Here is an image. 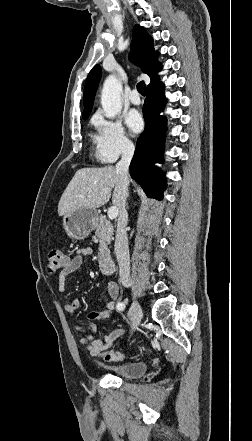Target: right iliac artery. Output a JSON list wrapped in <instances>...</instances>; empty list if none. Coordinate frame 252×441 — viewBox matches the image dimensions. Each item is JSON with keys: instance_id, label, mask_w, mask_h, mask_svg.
Wrapping results in <instances>:
<instances>
[{"instance_id": "obj_1", "label": "right iliac artery", "mask_w": 252, "mask_h": 441, "mask_svg": "<svg viewBox=\"0 0 252 441\" xmlns=\"http://www.w3.org/2000/svg\"><path fill=\"white\" fill-rule=\"evenodd\" d=\"M124 308H125L124 303H119V304L117 305V310H119V311L124 310Z\"/></svg>"}]
</instances>
